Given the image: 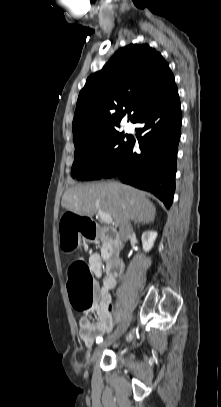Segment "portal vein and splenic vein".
I'll list each match as a JSON object with an SVG mask.
<instances>
[{
  "instance_id": "18ae733b",
  "label": "portal vein and splenic vein",
  "mask_w": 221,
  "mask_h": 407,
  "mask_svg": "<svg viewBox=\"0 0 221 407\" xmlns=\"http://www.w3.org/2000/svg\"><path fill=\"white\" fill-rule=\"evenodd\" d=\"M98 215L100 217V219L106 223V224H112L113 223V218L111 217V215L109 213L103 212L101 210L98 211Z\"/></svg>"
}]
</instances>
